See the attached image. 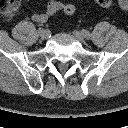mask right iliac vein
<instances>
[{
    "label": "right iliac vein",
    "instance_id": "1",
    "mask_svg": "<svg viewBox=\"0 0 128 128\" xmlns=\"http://www.w3.org/2000/svg\"><path fill=\"white\" fill-rule=\"evenodd\" d=\"M38 34L41 37V39L46 40L48 39L50 32L48 30L41 29L38 31Z\"/></svg>",
    "mask_w": 128,
    "mask_h": 128
}]
</instances>
